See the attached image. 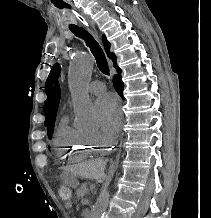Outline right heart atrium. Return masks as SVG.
<instances>
[{"mask_svg":"<svg viewBox=\"0 0 211 218\" xmlns=\"http://www.w3.org/2000/svg\"><path fill=\"white\" fill-rule=\"evenodd\" d=\"M87 136L94 142L97 143H102V144H108L109 140L108 138L103 135L102 133L98 132V131H94V132H87Z\"/></svg>","mask_w":211,"mask_h":218,"instance_id":"obj_1","label":"right heart atrium"}]
</instances>
